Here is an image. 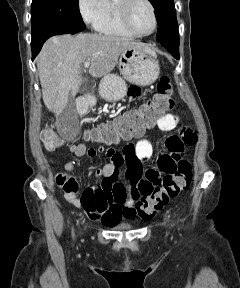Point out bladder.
Wrapping results in <instances>:
<instances>
[{
	"instance_id": "31cf9c89",
	"label": "bladder",
	"mask_w": 240,
	"mask_h": 288,
	"mask_svg": "<svg viewBox=\"0 0 240 288\" xmlns=\"http://www.w3.org/2000/svg\"><path fill=\"white\" fill-rule=\"evenodd\" d=\"M114 228L119 229V230H132L134 227L131 224L125 223V224L115 225Z\"/></svg>"
}]
</instances>
